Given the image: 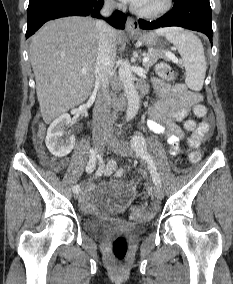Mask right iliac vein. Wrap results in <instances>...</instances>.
Instances as JSON below:
<instances>
[{
  "label": "right iliac vein",
  "instance_id": "1",
  "mask_svg": "<svg viewBox=\"0 0 233 284\" xmlns=\"http://www.w3.org/2000/svg\"><path fill=\"white\" fill-rule=\"evenodd\" d=\"M106 141H107V139H106L105 136H103L101 134H95L93 136L95 151L98 152V153H102ZM74 197H75V199H77L79 197V193H75Z\"/></svg>",
  "mask_w": 233,
  "mask_h": 284
}]
</instances>
